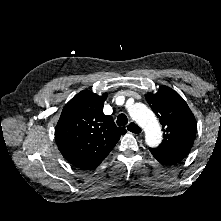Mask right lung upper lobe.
I'll return each mask as SVG.
<instances>
[{"mask_svg": "<svg viewBox=\"0 0 221 221\" xmlns=\"http://www.w3.org/2000/svg\"><path fill=\"white\" fill-rule=\"evenodd\" d=\"M107 93L98 96L83 90L64 107L55 128V140L62 155L82 169L97 167L127 131L104 115Z\"/></svg>", "mask_w": 221, "mask_h": 221, "instance_id": "1", "label": "right lung upper lobe"}]
</instances>
